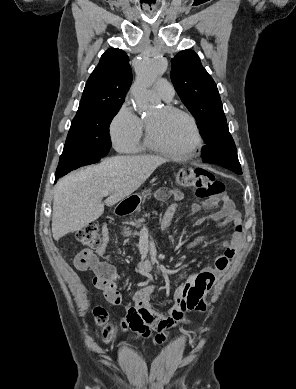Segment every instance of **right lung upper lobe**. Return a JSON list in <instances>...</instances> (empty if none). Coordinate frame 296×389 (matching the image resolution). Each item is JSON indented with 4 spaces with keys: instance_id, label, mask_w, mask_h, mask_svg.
<instances>
[{
    "instance_id": "obj_1",
    "label": "right lung upper lobe",
    "mask_w": 296,
    "mask_h": 389,
    "mask_svg": "<svg viewBox=\"0 0 296 389\" xmlns=\"http://www.w3.org/2000/svg\"><path fill=\"white\" fill-rule=\"evenodd\" d=\"M132 83V70L127 54L108 49L90 75L74 119L88 113L121 106Z\"/></svg>"
}]
</instances>
